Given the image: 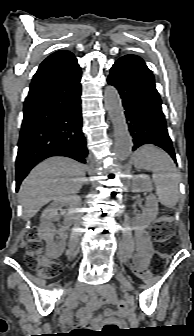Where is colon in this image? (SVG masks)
Returning a JSON list of instances; mask_svg holds the SVG:
<instances>
[{
    "label": "colon",
    "instance_id": "1",
    "mask_svg": "<svg viewBox=\"0 0 194 336\" xmlns=\"http://www.w3.org/2000/svg\"><path fill=\"white\" fill-rule=\"evenodd\" d=\"M176 225L169 210H163L158 219L157 224L152 228V237L158 245V256L156 260H160L171 256L176 247L175 240ZM25 262L37 273L44 278H55L60 275L62 266L58 261L51 259L44 251L42 242L37 233L32 231L28 237L27 250L25 254ZM138 274L144 279L149 276L146 271L139 270ZM116 307L119 311L124 312L127 305L124 302H118ZM122 329L115 325H106L99 332L101 336H119Z\"/></svg>",
    "mask_w": 194,
    "mask_h": 336
}]
</instances>
